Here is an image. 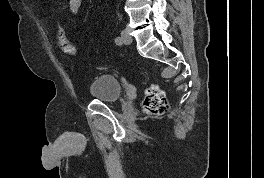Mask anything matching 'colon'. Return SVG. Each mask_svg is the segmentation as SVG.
Wrapping results in <instances>:
<instances>
[{
    "mask_svg": "<svg viewBox=\"0 0 264 178\" xmlns=\"http://www.w3.org/2000/svg\"><path fill=\"white\" fill-rule=\"evenodd\" d=\"M57 41L60 49L67 55H76L77 49L68 39L64 29L57 24ZM144 110L147 113L161 115L169 110V102L165 92L158 86H151L145 94L143 101Z\"/></svg>",
    "mask_w": 264,
    "mask_h": 178,
    "instance_id": "5ec220e1",
    "label": "colon"
}]
</instances>
